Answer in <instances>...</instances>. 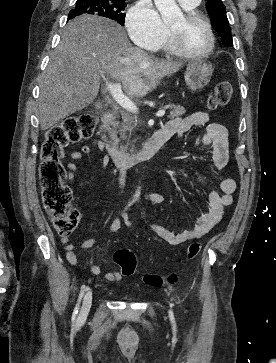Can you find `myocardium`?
I'll return each instance as SVG.
<instances>
[{
    "mask_svg": "<svg viewBox=\"0 0 276 363\" xmlns=\"http://www.w3.org/2000/svg\"><path fill=\"white\" fill-rule=\"evenodd\" d=\"M183 17L187 23L194 22V21H200V22L204 23V25L207 29L208 35H209V46L202 53L190 52L180 42L177 32L174 29L170 28L169 40H170V45H171L173 52L184 58H188V59H192V60H203V59L208 58L213 53V51L215 49V44H216L214 31H213V28H212V25H211L209 19L205 15H203L202 13H200L196 10L187 11L183 15Z\"/></svg>",
    "mask_w": 276,
    "mask_h": 363,
    "instance_id": "obj_1",
    "label": "myocardium"
}]
</instances>
